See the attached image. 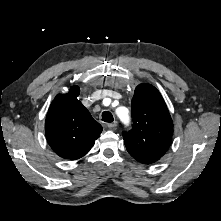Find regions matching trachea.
I'll return each instance as SVG.
<instances>
[{
	"mask_svg": "<svg viewBox=\"0 0 221 221\" xmlns=\"http://www.w3.org/2000/svg\"><path fill=\"white\" fill-rule=\"evenodd\" d=\"M102 121L104 122H113V115L109 111H104L101 115Z\"/></svg>",
	"mask_w": 221,
	"mask_h": 221,
	"instance_id": "obj_1",
	"label": "trachea"
}]
</instances>
